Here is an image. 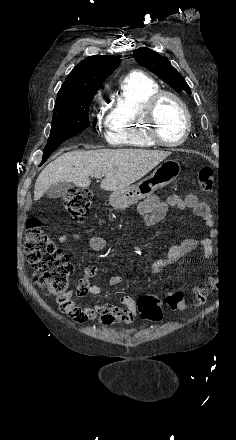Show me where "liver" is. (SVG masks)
Segmentation results:
<instances>
[{"label":"liver","instance_id":"obj_1","mask_svg":"<svg viewBox=\"0 0 236 440\" xmlns=\"http://www.w3.org/2000/svg\"><path fill=\"white\" fill-rule=\"evenodd\" d=\"M171 153L143 149L75 150L64 153L49 163L39 174L34 187V200L58 182H71L78 187L90 185V176L104 177L100 186L105 191H120L147 175Z\"/></svg>","mask_w":236,"mask_h":440}]
</instances>
